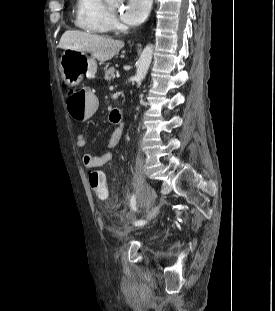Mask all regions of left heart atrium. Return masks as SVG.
Wrapping results in <instances>:
<instances>
[{
    "label": "left heart atrium",
    "mask_w": 275,
    "mask_h": 311,
    "mask_svg": "<svg viewBox=\"0 0 275 311\" xmlns=\"http://www.w3.org/2000/svg\"><path fill=\"white\" fill-rule=\"evenodd\" d=\"M151 1L152 0H127L121 14L122 20L130 26L142 23L150 11Z\"/></svg>",
    "instance_id": "left-heart-atrium-1"
}]
</instances>
